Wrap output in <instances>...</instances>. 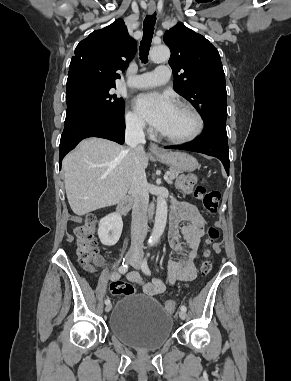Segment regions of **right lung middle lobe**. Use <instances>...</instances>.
Listing matches in <instances>:
<instances>
[{
	"mask_svg": "<svg viewBox=\"0 0 291 381\" xmlns=\"http://www.w3.org/2000/svg\"><path fill=\"white\" fill-rule=\"evenodd\" d=\"M115 84L100 83L91 79L77 77L67 80L66 102L79 99L87 102L99 115L123 114L122 98L113 94Z\"/></svg>",
	"mask_w": 291,
	"mask_h": 381,
	"instance_id": "obj_1",
	"label": "right lung middle lobe"
}]
</instances>
